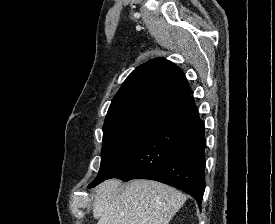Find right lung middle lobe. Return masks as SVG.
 <instances>
[{
    "label": "right lung middle lobe",
    "instance_id": "1",
    "mask_svg": "<svg viewBox=\"0 0 275 224\" xmlns=\"http://www.w3.org/2000/svg\"><path fill=\"white\" fill-rule=\"evenodd\" d=\"M165 112L162 109L145 108L105 122L101 166L97 177L88 187H93L109 178Z\"/></svg>",
    "mask_w": 275,
    "mask_h": 224
}]
</instances>
